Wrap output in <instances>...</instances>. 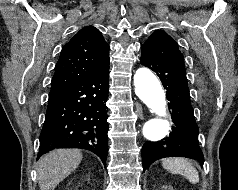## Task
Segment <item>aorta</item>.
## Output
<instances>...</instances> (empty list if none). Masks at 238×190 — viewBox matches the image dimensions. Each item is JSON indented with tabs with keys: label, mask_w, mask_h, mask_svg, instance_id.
<instances>
[{
	"label": "aorta",
	"mask_w": 238,
	"mask_h": 190,
	"mask_svg": "<svg viewBox=\"0 0 238 190\" xmlns=\"http://www.w3.org/2000/svg\"><path fill=\"white\" fill-rule=\"evenodd\" d=\"M135 93L155 116L143 126V136L151 141L162 140L169 132L165 93L157 77L148 68H140L134 75Z\"/></svg>",
	"instance_id": "762f6f07"
}]
</instances>
